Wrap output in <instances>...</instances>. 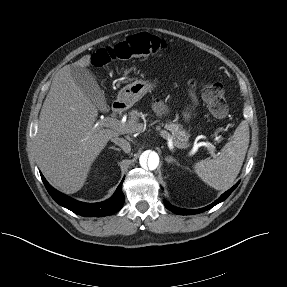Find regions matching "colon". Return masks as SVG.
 Returning a JSON list of instances; mask_svg holds the SVG:
<instances>
[{
    "label": "colon",
    "mask_w": 287,
    "mask_h": 287,
    "mask_svg": "<svg viewBox=\"0 0 287 287\" xmlns=\"http://www.w3.org/2000/svg\"><path fill=\"white\" fill-rule=\"evenodd\" d=\"M165 42L149 33H137L125 40L99 49L93 56L96 66H105L116 60H127L134 57H145L160 52ZM203 99L210 112L217 118L227 115L228 107L223 87L218 82H207L203 88Z\"/></svg>",
    "instance_id": "5ec220e1"
}]
</instances>
